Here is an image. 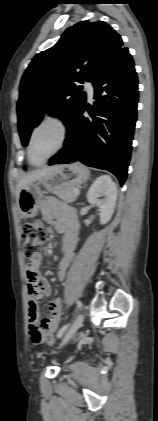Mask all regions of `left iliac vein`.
Segmentation results:
<instances>
[{
	"label": "left iliac vein",
	"mask_w": 158,
	"mask_h": 421,
	"mask_svg": "<svg viewBox=\"0 0 158 421\" xmlns=\"http://www.w3.org/2000/svg\"><path fill=\"white\" fill-rule=\"evenodd\" d=\"M83 320H84V315L82 313L78 314L73 324L71 325V327L68 329L67 333L65 334L60 346H63L64 344L68 343L75 336L76 331L81 327Z\"/></svg>",
	"instance_id": "left-iliac-vein-1"
}]
</instances>
